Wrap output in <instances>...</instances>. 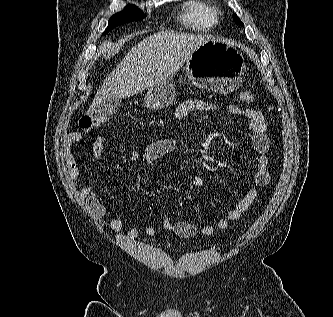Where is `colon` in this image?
<instances>
[{
	"instance_id": "5ec220e1",
	"label": "colon",
	"mask_w": 333,
	"mask_h": 317,
	"mask_svg": "<svg viewBox=\"0 0 333 317\" xmlns=\"http://www.w3.org/2000/svg\"><path fill=\"white\" fill-rule=\"evenodd\" d=\"M238 97L241 101L248 104L254 101L253 94L248 91L239 92ZM104 122L105 118L102 116L85 115L80 119L79 125L85 131H92L101 126Z\"/></svg>"
}]
</instances>
